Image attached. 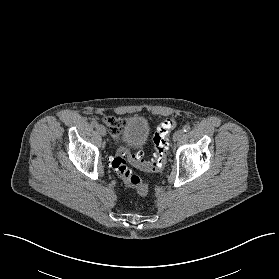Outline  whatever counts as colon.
Returning <instances> with one entry per match:
<instances>
[{"label": "colon", "instance_id": "1", "mask_svg": "<svg viewBox=\"0 0 279 279\" xmlns=\"http://www.w3.org/2000/svg\"><path fill=\"white\" fill-rule=\"evenodd\" d=\"M116 125L118 124L116 123ZM175 125L173 120H165L157 127L153 138L155 148L153 162L144 160L141 152L132 151L124 145L118 147L111 161V167L127 187L135 189L141 195L148 193L147 180L141 176L133 175L128 163L147 173L158 172L166 161L168 136Z\"/></svg>", "mask_w": 279, "mask_h": 279}]
</instances>
